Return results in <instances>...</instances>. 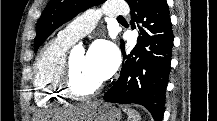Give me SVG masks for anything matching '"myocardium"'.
Listing matches in <instances>:
<instances>
[{
	"mask_svg": "<svg viewBox=\"0 0 217 121\" xmlns=\"http://www.w3.org/2000/svg\"><path fill=\"white\" fill-rule=\"evenodd\" d=\"M103 86L104 83L101 81L95 88L89 91L78 89L73 79L72 60L71 58L66 59L60 77V89L63 95L77 100H88L98 95Z\"/></svg>",
	"mask_w": 217,
	"mask_h": 121,
	"instance_id": "f54148a6",
	"label": "myocardium"
}]
</instances>
